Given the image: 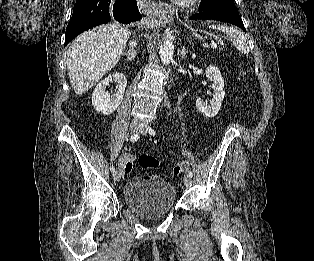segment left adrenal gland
Wrapping results in <instances>:
<instances>
[{
	"label": "left adrenal gland",
	"instance_id": "1",
	"mask_svg": "<svg viewBox=\"0 0 314 261\" xmlns=\"http://www.w3.org/2000/svg\"><path fill=\"white\" fill-rule=\"evenodd\" d=\"M187 53H188V52L186 51V47H185V45H184L183 48H182V51H181V57H182V59H185Z\"/></svg>",
	"mask_w": 314,
	"mask_h": 261
}]
</instances>
